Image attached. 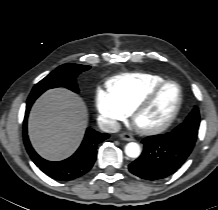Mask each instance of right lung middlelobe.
<instances>
[{
	"label": "right lung middle lobe",
	"instance_id": "dd1d6c3e",
	"mask_svg": "<svg viewBox=\"0 0 218 210\" xmlns=\"http://www.w3.org/2000/svg\"><path fill=\"white\" fill-rule=\"evenodd\" d=\"M89 68L90 66L80 64H63L37 83L30 96L40 95L47 89L55 87H65L77 93L79 90L76 77Z\"/></svg>",
	"mask_w": 218,
	"mask_h": 210
}]
</instances>
